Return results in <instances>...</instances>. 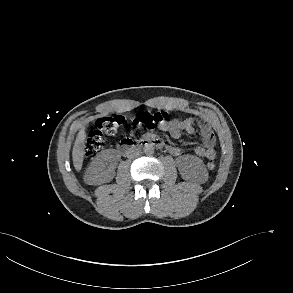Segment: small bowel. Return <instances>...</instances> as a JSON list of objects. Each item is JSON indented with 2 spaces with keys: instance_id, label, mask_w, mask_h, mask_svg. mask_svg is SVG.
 <instances>
[{
  "instance_id": "1",
  "label": "small bowel",
  "mask_w": 293,
  "mask_h": 293,
  "mask_svg": "<svg viewBox=\"0 0 293 293\" xmlns=\"http://www.w3.org/2000/svg\"><path fill=\"white\" fill-rule=\"evenodd\" d=\"M199 123L200 135L203 145L197 146L194 149L196 156L206 159H214L215 151V136L208 123L202 118H171L160 126L162 131L168 132L173 138H180L183 134L192 135L195 133L194 124ZM168 152L173 156H181L182 151L176 146H167Z\"/></svg>"
}]
</instances>
